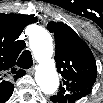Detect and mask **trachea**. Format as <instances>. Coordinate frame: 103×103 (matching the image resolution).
I'll use <instances>...</instances> for the list:
<instances>
[{
    "label": "trachea",
    "mask_w": 103,
    "mask_h": 103,
    "mask_svg": "<svg viewBox=\"0 0 103 103\" xmlns=\"http://www.w3.org/2000/svg\"><path fill=\"white\" fill-rule=\"evenodd\" d=\"M33 60L30 51L25 50L17 61V65L21 68L28 69L32 66Z\"/></svg>",
    "instance_id": "1"
}]
</instances>
